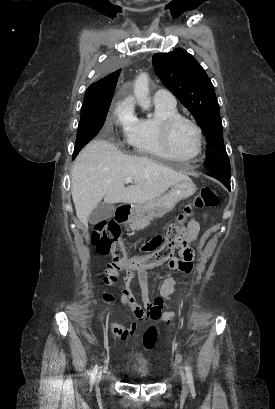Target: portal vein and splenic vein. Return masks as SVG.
<instances>
[{
    "label": "portal vein and splenic vein",
    "instance_id": "obj_1",
    "mask_svg": "<svg viewBox=\"0 0 275 409\" xmlns=\"http://www.w3.org/2000/svg\"><path fill=\"white\" fill-rule=\"evenodd\" d=\"M125 182L126 184H128V182H133L132 176H127V178H125Z\"/></svg>",
    "mask_w": 275,
    "mask_h": 409
}]
</instances>
